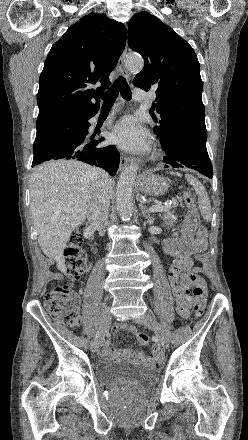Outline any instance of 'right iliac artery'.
I'll use <instances>...</instances> for the list:
<instances>
[{"label": "right iliac artery", "mask_w": 248, "mask_h": 440, "mask_svg": "<svg viewBox=\"0 0 248 440\" xmlns=\"http://www.w3.org/2000/svg\"><path fill=\"white\" fill-rule=\"evenodd\" d=\"M99 333H100V330L97 332L96 336L99 335Z\"/></svg>", "instance_id": "1"}]
</instances>
